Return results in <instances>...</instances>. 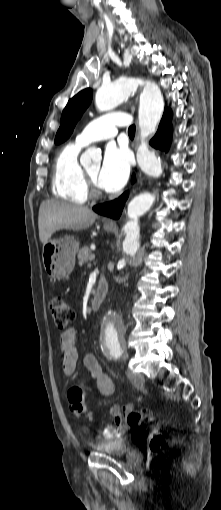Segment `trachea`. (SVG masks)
Listing matches in <instances>:
<instances>
[{"label": "trachea", "mask_w": 221, "mask_h": 510, "mask_svg": "<svg viewBox=\"0 0 221 510\" xmlns=\"http://www.w3.org/2000/svg\"><path fill=\"white\" fill-rule=\"evenodd\" d=\"M128 134H129V136H134L135 135V125H131L129 127Z\"/></svg>", "instance_id": "trachea-1"}]
</instances>
